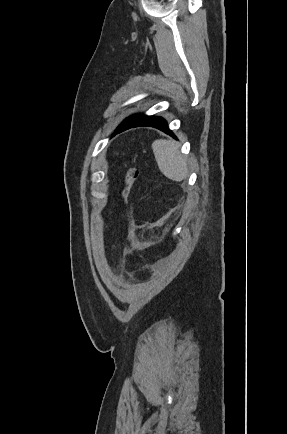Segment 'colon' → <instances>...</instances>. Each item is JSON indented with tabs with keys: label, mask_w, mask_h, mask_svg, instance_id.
<instances>
[{
	"label": "colon",
	"mask_w": 287,
	"mask_h": 434,
	"mask_svg": "<svg viewBox=\"0 0 287 434\" xmlns=\"http://www.w3.org/2000/svg\"><path fill=\"white\" fill-rule=\"evenodd\" d=\"M137 176H138V171L136 168L130 167L126 170L122 180V186L120 188L121 197H124L127 194L129 187L135 181Z\"/></svg>",
	"instance_id": "5ec220e1"
}]
</instances>
